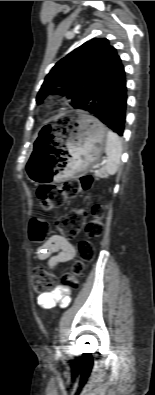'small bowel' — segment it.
<instances>
[{
    "mask_svg": "<svg viewBox=\"0 0 155 395\" xmlns=\"http://www.w3.org/2000/svg\"><path fill=\"white\" fill-rule=\"evenodd\" d=\"M75 256V247L68 239L61 235L50 236L36 251L37 259L40 261H47L50 267L69 262L74 259ZM69 294V288L57 286L47 293L40 294L37 298V304L46 310H50L57 305L65 307L70 302Z\"/></svg>",
    "mask_w": 155,
    "mask_h": 395,
    "instance_id": "obj_1",
    "label": "small bowel"
}]
</instances>
